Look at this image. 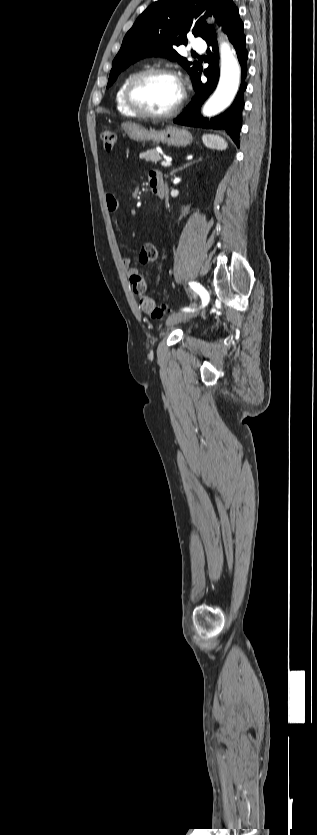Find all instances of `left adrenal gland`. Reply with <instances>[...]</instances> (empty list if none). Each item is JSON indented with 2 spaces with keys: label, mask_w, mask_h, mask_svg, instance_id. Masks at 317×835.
Wrapping results in <instances>:
<instances>
[{
  "label": "left adrenal gland",
  "mask_w": 317,
  "mask_h": 835,
  "mask_svg": "<svg viewBox=\"0 0 317 835\" xmlns=\"http://www.w3.org/2000/svg\"><path fill=\"white\" fill-rule=\"evenodd\" d=\"M201 160H202V159L200 158V159H199V160H197V161L187 163V164H185L183 167H180V168H178V169L173 170V171L170 173V175L172 176V175H174V173H175V172H177V171H179V170H183L184 168H187L188 166H190V165H192V164H194V163H196V162H200Z\"/></svg>",
  "instance_id": "1"
}]
</instances>
